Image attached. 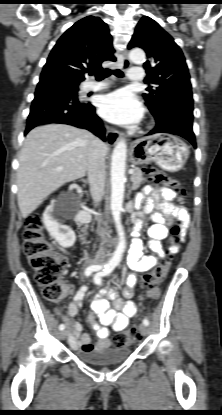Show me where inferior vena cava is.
I'll list each match as a JSON object with an SVG mask.
<instances>
[{
  "mask_svg": "<svg viewBox=\"0 0 222 415\" xmlns=\"http://www.w3.org/2000/svg\"><path fill=\"white\" fill-rule=\"evenodd\" d=\"M107 146L99 139L92 142L88 156V182L90 185V193L95 202H99L104 194L105 187V154ZM103 255L102 249L97 252V257Z\"/></svg>",
  "mask_w": 222,
  "mask_h": 415,
  "instance_id": "obj_1",
  "label": "inferior vena cava"
}]
</instances>
